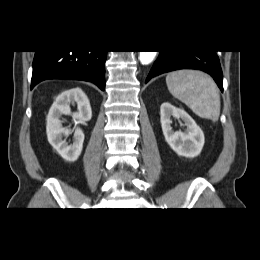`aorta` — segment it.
Returning a JSON list of instances; mask_svg holds the SVG:
<instances>
[{"instance_id":"1","label":"aorta","mask_w":260,"mask_h":260,"mask_svg":"<svg viewBox=\"0 0 260 260\" xmlns=\"http://www.w3.org/2000/svg\"><path fill=\"white\" fill-rule=\"evenodd\" d=\"M156 53V51H140L139 60L143 65H147L154 60Z\"/></svg>"}]
</instances>
